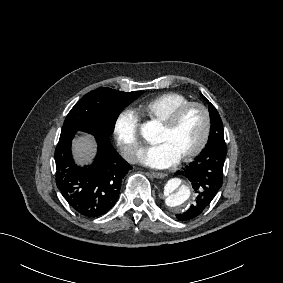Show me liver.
Returning a JSON list of instances; mask_svg holds the SVG:
<instances>
[{
    "mask_svg": "<svg viewBox=\"0 0 283 283\" xmlns=\"http://www.w3.org/2000/svg\"><path fill=\"white\" fill-rule=\"evenodd\" d=\"M74 148L79 159H88L94 155V141L90 136L77 139Z\"/></svg>",
    "mask_w": 283,
    "mask_h": 283,
    "instance_id": "6515ba94",
    "label": "liver"
}]
</instances>
